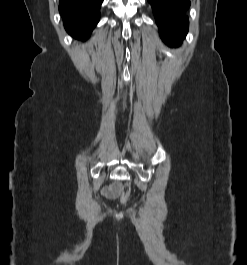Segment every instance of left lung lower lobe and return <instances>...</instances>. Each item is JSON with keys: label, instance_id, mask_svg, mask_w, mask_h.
<instances>
[{"label": "left lung lower lobe", "instance_id": "1", "mask_svg": "<svg viewBox=\"0 0 247 265\" xmlns=\"http://www.w3.org/2000/svg\"><path fill=\"white\" fill-rule=\"evenodd\" d=\"M151 4L162 39L169 46H178L188 32L185 13L189 0H148Z\"/></svg>", "mask_w": 247, "mask_h": 265}]
</instances>
